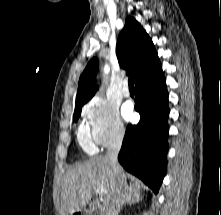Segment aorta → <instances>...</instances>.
<instances>
[{"label":"aorta","mask_w":221,"mask_h":215,"mask_svg":"<svg viewBox=\"0 0 221 215\" xmlns=\"http://www.w3.org/2000/svg\"><path fill=\"white\" fill-rule=\"evenodd\" d=\"M104 71H105V73H108L109 72V67L105 66Z\"/></svg>","instance_id":"1"}]
</instances>
